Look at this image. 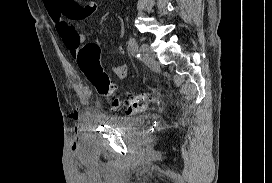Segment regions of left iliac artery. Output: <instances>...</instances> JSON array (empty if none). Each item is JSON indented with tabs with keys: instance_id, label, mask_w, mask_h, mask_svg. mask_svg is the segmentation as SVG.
<instances>
[{
	"instance_id": "44dca946",
	"label": "left iliac artery",
	"mask_w": 272,
	"mask_h": 183,
	"mask_svg": "<svg viewBox=\"0 0 272 183\" xmlns=\"http://www.w3.org/2000/svg\"><path fill=\"white\" fill-rule=\"evenodd\" d=\"M128 49L133 56H135L137 58L140 57V54L138 52V44H137V41L134 37H130L129 42H128Z\"/></svg>"
}]
</instances>
